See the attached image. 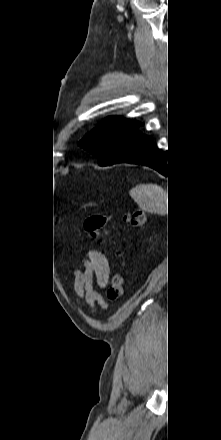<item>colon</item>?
Returning <instances> with one entry per match:
<instances>
[{
    "label": "colon",
    "mask_w": 221,
    "mask_h": 440,
    "mask_svg": "<svg viewBox=\"0 0 221 440\" xmlns=\"http://www.w3.org/2000/svg\"><path fill=\"white\" fill-rule=\"evenodd\" d=\"M127 222L134 226L140 227L144 225L145 214L141 210H134L126 215ZM109 218L106 216H89L84 221V229L94 238L99 236L100 230L108 222ZM124 295V283L121 275L115 273L110 281V286L107 292V297L110 301L115 302Z\"/></svg>",
    "instance_id": "colon-1"
}]
</instances>
